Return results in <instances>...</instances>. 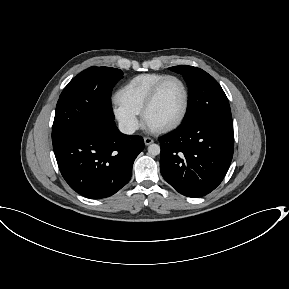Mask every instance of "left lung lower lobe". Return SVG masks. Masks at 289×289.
Instances as JSON below:
<instances>
[{"instance_id":"1","label":"left lung lower lobe","mask_w":289,"mask_h":289,"mask_svg":"<svg viewBox=\"0 0 289 289\" xmlns=\"http://www.w3.org/2000/svg\"><path fill=\"white\" fill-rule=\"evenodd\" d=\"M160 170L179 193L201 197L223 180L233 157L232 124L201 119L159 138Z\"/></svg>"}]
</instances>
